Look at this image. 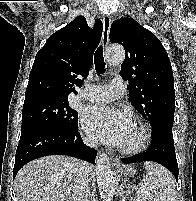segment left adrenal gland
I'll return each instance as SVG.
<instances>
[{
    "label": "left adrenal gland",
    "instance_id": "left-adrenal-gland-1",
    "mask_svg": "<svg viewBox=\"0 0 196 201\" xmlns=\"http://www.w3.org/2000/svg\"><path fill=\"white\" fill-rule=\"evenodd\" d=\"M126 182H127V180H124L122 183H121V185H120V195H121V198H122V201H125V199H126V197H125V185H126Z\"/></svg>",
    "mask_w": 196,
    "mask_h": 201
}]
</instances>
